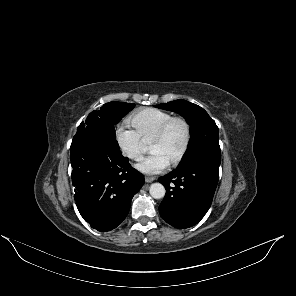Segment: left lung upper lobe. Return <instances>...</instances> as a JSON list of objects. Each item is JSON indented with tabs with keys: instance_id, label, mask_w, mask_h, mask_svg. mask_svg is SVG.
<instances>
[{
	"instance_id": "obj_1",
	"label": "left lung upper lobe",
	"mask_w": 296,
	"mask_h": 296,
	"mask_svg": "<svg viewBox=\"0 0 296 296\" xmlns=\"http://www.w3.org/2000/svg\"><path fill=\"white\" fill-rule=\"evenodd\" d=\"M155 107L177 112L190 125L191 138L181 166L200 156L221 152L218 127L203 108L185 100H175Z\"/></svg>"
}]
</instances>
